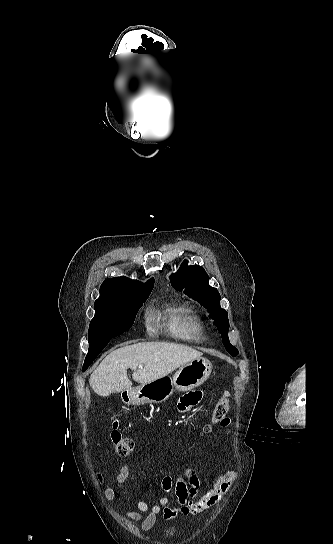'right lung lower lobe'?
<instances>
[{
    "label": "right lung lower lobe",
    "instance_id": "obj_1",
    "mask_svg": "<svg viewBox=\"0 0 333 544\" xmlns=\"http://www.w3.org/2000/svg\"><path fill=\"white\" fill-rule=\"evenodd\" d=\"M88 367H89V366H88ZM88 367H83V370H82V371L84 372Z\"/></svg>",
    "mask_w": 333,
    "mask_h": 544
}]
</instances>
